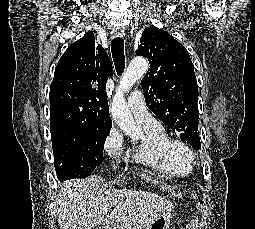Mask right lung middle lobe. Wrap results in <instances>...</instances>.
Instances as JSON below:
<instances>
[{
	"label": "right lung middle lobe",
	"instance_id": "1",
	"mask_svg": "<svg viewBox=\"0 0 255 229\" xmlns=\"http://www.w3.org/2000/svg\"><path fill=\"white\" fill-rule=\"evenodd\" d=\"M109 131L107 128H51L57 177L68 180L89 176L103 162Z\"/></svg>",
	"mask_w": 255,
	"mask_h": 229
}]
</instances>
